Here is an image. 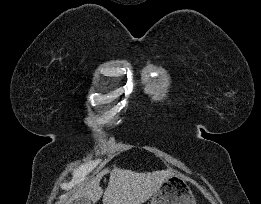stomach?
<instances>
[{"mask_svg":"<svg viewBox=\"0 0 261 204\" xmlns=\"http://www.w3.org/2000/svg\"><path fill=\"white\" fill-rule=\"evenodd\" d=\"M150 204H196V200L185 178L173 173L153 194Z\"/></svg>","mask_w":261,"mask_h":204,"instance_id":"1","label":"stomach"}]
</instances>
